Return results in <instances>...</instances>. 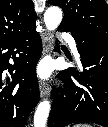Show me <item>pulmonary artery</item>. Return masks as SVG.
Listing matches in <instances>:
<instances>
[{
	"instance_id": "pulmonary-artery-1",
	"label": "pulmonary artery",
	"mask_w": 108,
	"mask_h": 127,
	"mask_svg": "<svg viewBox=\"0 0 108 127\" xmlns=\"http://www.w3.org/2000/svg\"><path fill=\"white\" fill-rule=\"evenodd\" d=\"M62 36L69 44V47L72 50V52L75 54V56L79 57L77 47H76V42H75L74 38L72 37V35L65 33Z\"/></svg>"
}]
</instances>
